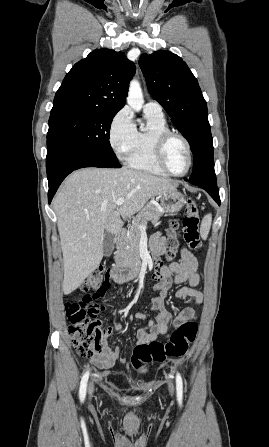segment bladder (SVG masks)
Wrapping results in <instances>:
<instances>
[{
    "mask_svg": "<svg viewBox=\"0 0 269 447\" xmlns=\"http://www.w3.org/2000/svg\"><path fill=\"white\" fill-rule=\"evenodd\" d=\"M126 383L129 384V385H132V386H136L135 379L132 378V377H127L126 378Z\"/></svg>",
    "mask_w": 269,
    "mask_h": 447,
    "instance_id": "1",
    "label": "bladder"
}]
</instances>
